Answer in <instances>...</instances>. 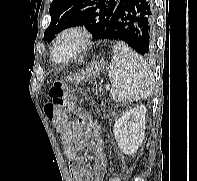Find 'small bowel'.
<instances>
[{
  "instance_id": "obj_1",
  "label": "small bowel",
  "mask_w": 197,
  "mask_h": 181,
  "mask_svg": "<svg viewBox=\"0 0 197 181\" xmlns=\"http://www.w3.org/2000/svg\"><path fill=\"white\" fill-rule=\"evenodd\" d=\"M61 140L74 181H103L106 168L104 140L100 126L85 110L78 109L75 120L66 123ZM88 153L94 156L92 166L83 160Z\"/></svg>"
}]
</instances>
